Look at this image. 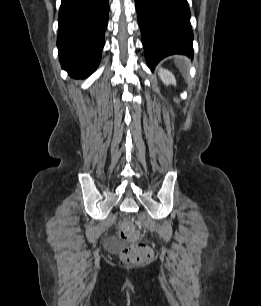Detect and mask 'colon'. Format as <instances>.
I'll list each match as a JSON object with an SVG mask.
<instances>
[{
	"label": "colon",
	"mask_w": 261,
	"mask_h": 306,
	"mask_svg": "<svg viewBox=\"0 0 261 306\" xmlns=\"http://www.w3.org/2000/svg\"><path fill=\"white\" fill-rule=\"evenodd\" d=\"M120 235L124 240L130 242L121 251V257L124 261L131 264H142L150 259L151 250L149 247L131 243L138 235L137 228L131 222H125L121 225Z\"/></svg>",
	"instance_id": "5ec220e1"
}]
</instances>
